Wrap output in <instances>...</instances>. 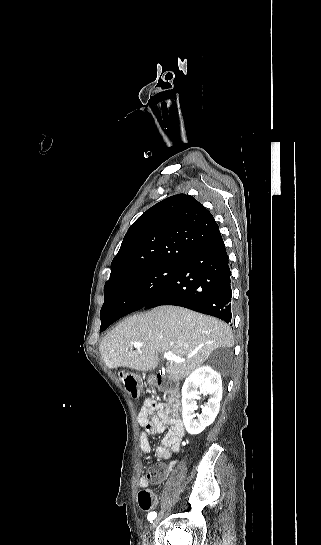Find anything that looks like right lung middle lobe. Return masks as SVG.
<instances>
[{"mask_svg":"<svg viewBox=\"0 0 321 545\" xmlns=\"http://www.w3.org/2000/svg\"><path fill=\"white\" fill-rule=\"evenodd\" d=\"M180 267L181 265L161 264L124 274L114 284L104 287V305L110 301H119L132 308L141 309L165 287ZM105 324L106 321L101 316L100 331Z\"/></svg>","mask_w":321,"mask_h":545,"instance_id":"obj_1","label":"right lung middle lobe"}]
</instances>
